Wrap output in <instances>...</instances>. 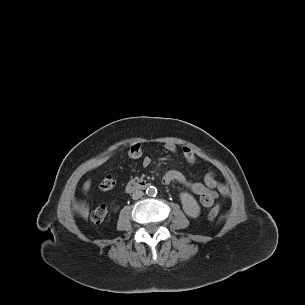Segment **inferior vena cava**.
I'll return each mask as SVG.
<instances>
[{"label": "inferior vena cava", "mask_w": 305, "mask_h": 305, "mask_svg": "<svg viewBox=\"0 0 305 305\" xmlns=\"http://www.w3.org/2000/svg\"><path fill=\"white\" fill-rule=\"evenodd\" d=\"M143 195H144L143 191H141V190H136L135 192H133L132 198H133L134 200H138V199H140Z\"/></svg>", "instance_id": "1"}]
</instances>
